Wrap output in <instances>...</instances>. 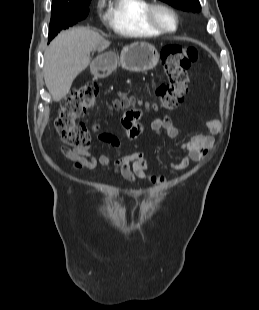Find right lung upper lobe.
Instances as JSON below:
<instances>
[{
    "instance_id": "cb5924a9",
    "label": "right lung upper lobe",
    "mask_w": 259,
    "mask_h": 310,
    "mask_svg": "<svg viewBox=\"0 0 259 310\" xmlns=\"http://www.w3.org/2000/svg\"><path fill=\"white\" fill-rule=\"evenodd\" d=\"M85 1H88V0H53L52 1V8L82 4Z\"/></svg>"
}]
</instances>
